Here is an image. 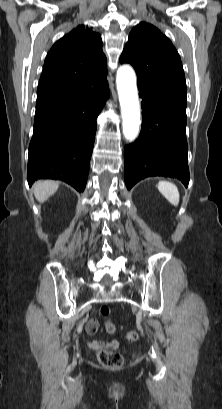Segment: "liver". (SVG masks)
<instances>
[{"mask_svg": "<svg viewBox=\"0 0 222 409\" xmlns=\"http://www.w3.org/2000/svg\"><path fill=\"white\" fill-rule=\"evenodd\" d=\"M58 182L51 180L37 181L33 186L35 198L43 203L58 190Z\"/></svg>", "mask_w": 222, "mask_h": 409, "instance_id": "liver-1", "label": "liver"}]
</instances>
